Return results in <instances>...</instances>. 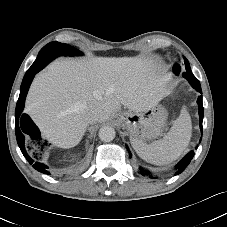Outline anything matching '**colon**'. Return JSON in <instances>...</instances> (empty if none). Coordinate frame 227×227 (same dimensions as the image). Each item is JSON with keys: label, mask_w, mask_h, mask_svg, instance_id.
<instances>
[{"label": "colon", "mask_w": 227, "mask_h": 227, "mask_svg": "<svg viewBox=\"0 0 227 227\" xmlns=\"http://www.w3.org/2000/svg\"><path fill=\"white\" fill-rule=\"evenodd\" d=\"M173 71L175 74H178L179 73V67L176 65L173 67ZM36 141H38V143L43 147V148H46V145L47 143L42 140L41 138H37Z\"/></svg>", "instance_id": "1"}]
</instances>
